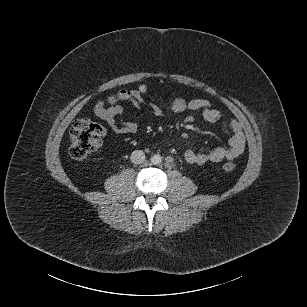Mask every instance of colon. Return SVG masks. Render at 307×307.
I'll list each match as a JSON object with an SVG mask.
<instances>
[{
    "label": "colon",
    "mask_w": 307,
    "mask_h": 307,
    "mask_svg": "<svg viewBox=\"0 0 307 307\" xmlns=\"http://www.w3.org/2000/svg\"><path fill=\"white\" fill-rule=\"evenodd\" d=\"M97 106L102 105L98 104ZM104 135V128L89 118L76 120L69 134L71 156L77 161H86L93 153L99 150ZM222 167L227 172L235 170L233 163H225Z\"/></svg>",
    "instance_id": "1"
}]
</instances>
